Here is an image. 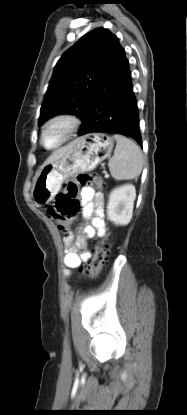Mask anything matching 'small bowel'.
I'll return each mask as SVG.
<instances>
[{
	"instance_id": "small-bowel-1",
	"label": "small bowel",
	"mask_w": 187,
	"mask_h": 415,
	"mask_svg": "<svg viewBox=\"0 0 187 415\" xmlns=\"http://www.w3.org/2000/svg\"><path fill=\"white\" fill-rule=\"evenodd\" d=\"M81 202L83 205L82 216L91 221L90 225L83 228V233L75 238L72 235H66L64 242V265L66 275H70V269L79 267L82 262L87 261L91 256V251L87 247V240L96 233L105 236L104 223V196L101 192L95 191L90 187L81 189Z\"/></svg>"
}]
</instances>
